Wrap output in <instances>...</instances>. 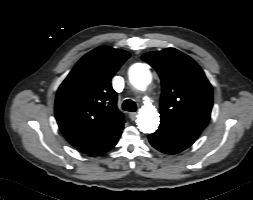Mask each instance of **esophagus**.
Instances as JSON below:
<instances>
[{
	"instance_id": "esophagus-1",
	"label": "esophagus",
	"mask_w": 253,
	"mask_h": 200,
	"mask_svg": "<svg viewBox=\"0 0 253 200\" xmlns=\"http://www.w3.org/2000/svg\"><path fill=\"white\" fill-rule=\"evenodd\" d=\"M136 116H137V113L136 112H133V113H130L129 114V117L132 121H134L136 119Z\"/></svg>"
}]
</instances>
